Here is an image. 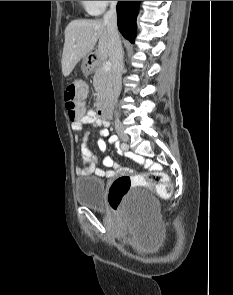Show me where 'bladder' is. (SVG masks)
I'll list each match as a JSON object with an SVG mask.
<instances>
[{"label":"bladder","instance_id":"1","mask_svg":"<svg viewBox=\"0 0 233 295\" xmlns=\"http://www.w3.org/2000/svg\"><path fill=\"white\" fill-rule=\"evenodd\" d=\"M76 199L80 205L96 211L105 210V183L93 176H81L75 181ZM126 214L134 215L142 221L151 222L159 213L156 197L147 190H140L125 206Z\"/></svg>","mask_w":233,"mask_h":295}]
</instances>
